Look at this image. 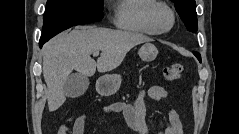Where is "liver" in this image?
Instances as JSON below:
<instances>
[{"label": "liver", "mask_w": 239, "mask_h": 134, "mask_svg": "<svg viewBox=\"0 0 239 134\" xmlns=\"http://www.w3.org/2000/svg\"><path fill=\"white\" fill-rule=\"evenodd\" d=\"M151 39L141 33L83 26L51 39L43 50V76L50 112L66 101L64 85L72 70L93 76L117 68L136 45ZM101 51L97 62L91 54Z\"/></svg>", "instance_id": "liver-1"}]
</instances>
